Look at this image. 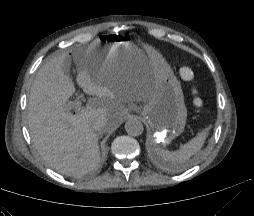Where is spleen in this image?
<instances>
[{
  "instance_id": "obj_1",
  "label": "spleen",
  "mask_w": 254,
  "mask_h": 216,
  "mask_svg": "<svg viewBox=\"0 0 254 216\" xmlns=\"http://www.w3.org/2000/svg\"><path fill=\"white\" fill-rule=\"evenodd\" d=\"M207 136L208 131L203 130L176 151L170 152L160 147H154L153 152L165 169L176 171L179 165L184 164L191 156L201 150Z\"/></svg>"
}]
</instances>
